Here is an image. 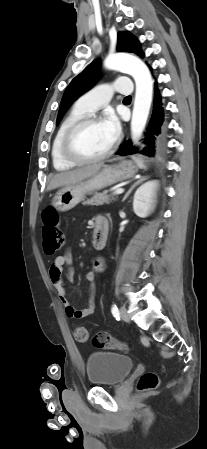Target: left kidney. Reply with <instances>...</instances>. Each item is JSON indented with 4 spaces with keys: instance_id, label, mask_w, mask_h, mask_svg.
Listing matches in <instances>:
<instances>
[{
    "instance_id": "left-kidney-1",
    "label": "left kidney",
    "mask_w": 207,
    "mask_h": 449,
    "mask_svg": "<svg viewBox=\"0 0 207 449\" xmlns=\"http://www.w3.org/2000/svg\"><path fill=\"white\" fill-rule=\"evenodd\" d=\"M157 181H148L141 185L134 194L133 210L139 217H146L154 209Z\"/></svg>"
}]
</instances>
